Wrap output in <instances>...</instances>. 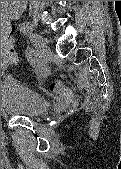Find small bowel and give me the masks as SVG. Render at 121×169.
<instances>
[{"label": "small bowel", "mask_w": 121, "mask_h": 169, "mask_svg": "<svg viewBox=\"0 0 121 169\" xmlns=\"http://www.w3.org/2000/svg\"><path fill=\"white\" fill-rule=\"evenodd\" d=\"M24 8V1H12L8 6H5L1 16V44L5 40H9L14 45V37L10 22L20 17Z\"/></svg>", "instance_id": "small-bowel-1"}]
</instances>
